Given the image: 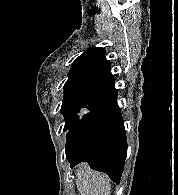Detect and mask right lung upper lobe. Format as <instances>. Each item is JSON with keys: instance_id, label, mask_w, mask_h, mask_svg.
Returning a JSON list of instances; mask_svg holds the SVG:
<instances>
[{"instance_id": "cb5924a9", "label": "right lung upper lobe", "mask_w": 178, "mask_h": 195, "mask_svg": "<svg viewBox=\"0 0 178 195\" xmlns=\"http://www.w3.org/2000/svg\"><path fill=\"white\" fill-rule=\"evenodd\" d=\"M105 50L92 47L81 54L72 64L64 85V96L99 95L114 88L111 64Z\"/></svg>"}]
</instances>
